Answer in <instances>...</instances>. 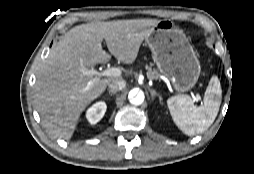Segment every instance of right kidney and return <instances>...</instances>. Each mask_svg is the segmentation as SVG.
Here are the masks:
<instances>
[{
  "mask_svg": "<svg viewBox=\"0 0 254 174\" xmlns=\"http://www.w3.org/2000/svg\"><path fill=\"white\" fill-rule=\"evenodd\" d=\"M107 109V105L105 102H97L93 104L86 112V118L90 124L94 125L99 122Z\"/></svg>",
  "mask_w": 254,
  "mask_h": 174,
  "instance_id": "obj_1",
  "label": "right kidney"
}]
</instances>
